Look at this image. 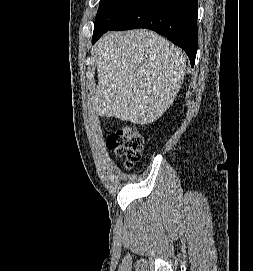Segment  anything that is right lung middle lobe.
<instances>
[{
  "label": "right lung middle lobe",
  "mask_w": 253,
  "mask_h": 271,
  "mask_svg": "<svg viewBox=\"0 0 253 271\" xmlns=\"http://www.w3.org/2000/svg\"><path fill=\"white\" fill-rule=\"evenodd\" d=\"M134 0H101L94 23V33L108 30Z\"/></svg>",
  "instance_id": "1"
}]
</instances>
